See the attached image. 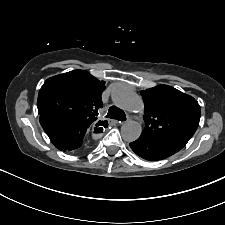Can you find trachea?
<instances>
[{"instance_id":"1","label":"trachea","mask_w":225,"mask_h":225,"mask_svg":"<svg viewBox=\"0 0 225 225\" xmlns=\"http://www.w3.org/2000/svg\"><path fill=\"white\" fill-rule=\"evenodd\" d=\"M107 118L117 119L118 121H125L126 114L123 110L117 108L116 106H111L106 115Z\"/></svg>"}]
</instances>
